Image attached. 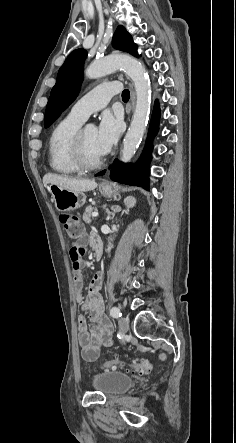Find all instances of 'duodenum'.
<instances>
[{
    "label": "duodenum",
    "mask_w": 236,
    "mask_h": 443,
    "mask_svg": "<svg viewBox=\"0 0 236 443\" xmlns=\"http://www.w3.org/2000/svg\"><path fill=\"white\" fill-rule=\"evenodd\" d=\"M94 256L96 259H100L102 256V245L97 247L96 250L94 251Z\"/></svg>",
    "instance_id": "duodenum-1"
}]
</instances>
